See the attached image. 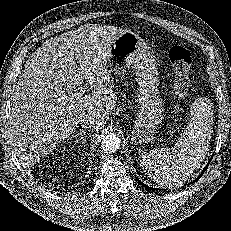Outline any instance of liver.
Returning <instances> with one entry per match:
<instances>
[{
  "label": "liver",
  "instance_id": "obj_1",
  "mask_svg": "<svg viewBox=\"0 0 231 231\" xmlns=\"http://www.w3.org/2000/svg\"><path fill=\"white\" fill-rule=\"evenodd\" d=\"M125 31L81 25L47 40L26 61L12 95L8 130L25 166H32L75 132L82 116L96 119V131L105 125L117 101L108 50ZM84 81L93 88L91 94L82 91Z\"/></svg>",
  "mask_w": 231,
  "mask_h": 231
}]
</instances>
